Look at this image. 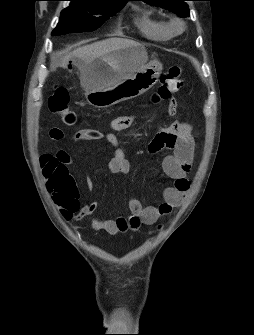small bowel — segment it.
I'll return each instance as SVG.
<instances>
[{"mask_svg": "<svg viewBox=\"0 0 254 335\" xmlns=\"http://www.w3.org/2000/svg\"><path fill=\"white\" fill-rule=\"evenodd\" d=\"M179 99L171 96L169 104L164 108V115H178ZM132 116H119L110 123L111 131L101 133L92 129H79L74 134L76 142L92 141L102 139L106 141L113 150L112 157L108 162V169L113 174L127 175L130 172V165L126 154L120 147L115 132L125 130L132 124ZM191 125L184 121H177L172 126L160 130L151 144L149 152L155 154L163 148L172 150V153L165 157L162 163L164 173L174 181V184L167 187L164 192V202L159 205L144 207L137 198H131L128 202L131 215L129 217H119L116 219L94 218L92 226L95 230L107 232L115 235L126 231H137L142 225H153L159 218L169 215L174 208L179 207L186 191L189 188L188 174L193 162V138L191 135ZM50 137L54 141L63 139L64 134L60 128H52ZM168 138H171L169 140ZM58 159L61 166L66 171V176L73 182V177L69 172L70 167L77 168L70 155L64 151L58 153ZM87 188L91 184L87 181ZM53 197H56L55 191H51ZM62 213L67 220L79 221L92 215L98 207L96 202L87 203L81 207L77 202L68 198L61 203Z\"/></svg>", "mask_w": 254, "mask_h": 335, "instance_id": "obj_1", "label": "small bowel"}]
</instances>
